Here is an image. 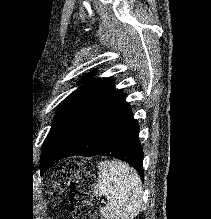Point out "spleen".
Returning <instances> with one entry per match:
<instances>
[{"mask_svg":"<svg viewBox=\"0 0 211 219\" xmlns=\"http://www.w3.org/2000/svg\"><path fill=\"white\" fill-rule=\"evenodd\" d=\"M95 193L108 197L100 209L105 219H133L142 205V184L137 172L128 164L118 161L98 163Z\"/></svg>","mask_w":211,"mask_h":219,"instance_id":"3e777b00","label":"spleen"}]
</instances>
